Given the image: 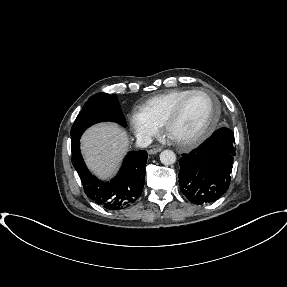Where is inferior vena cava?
<instances>
[{"instance_id": "1", "label": "inferior vena cava", "mask_w": 287, "mask_h": 287, "mask_svg": "<svg viewBox=\"0 0 287 287\" xmlns=\"http://www.w3.org/2000/svg\"><path fill=\"white\" fill-rule=\"evenodd\" d=\"M152 143V138L147 135H139L136 140V146L146 148Z\"/></svg>"}]
</instances>
